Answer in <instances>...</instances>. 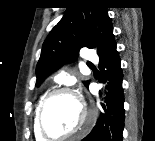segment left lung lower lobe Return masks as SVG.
Returning <instances> with one entry per match:
<instances>
[{
    "label": "left lung lower lobe",
    "mask_w": 155,
    "mask_h": 141,
    "mask_svg": "<svg viewBox=\"0 0 155 141\" xmlns=\"http://www.w3.org/2000/svg\"><path fill=\"white\" fill-rule=\"evenodd\" d=\"M102 71L106 68L108 79L107 105H103L105 113L101 114L93 130L82 141H122L124 129V94L122 88L123 73L121 60L116 50V42L112 35L99 53Z\"/></svg>",
    "instance_id": "left-lung-lower-lobe-1"
}]
</instances>
